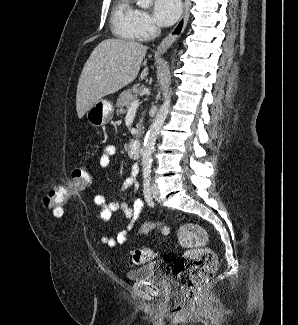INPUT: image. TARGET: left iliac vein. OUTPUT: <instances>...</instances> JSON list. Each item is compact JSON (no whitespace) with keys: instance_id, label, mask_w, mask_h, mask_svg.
Listing matches in <instances>:
<instances>
[{"instance_id":"1","label":"left iliac vein","mask_w":298,"mask_h":325,"mask_svg":"<svg viewBox=\"0 0 298 325\" xmlns=\"http://www.w3.org/2000/svg\"><path fill=\"white\" fill-rule=\"evenodd\" d=\"M150 192H151L152 197H153L155 200H158L159 188H158V186H157L156 183H153V184L151 185Z\"/></svg>"}]
</instances>
